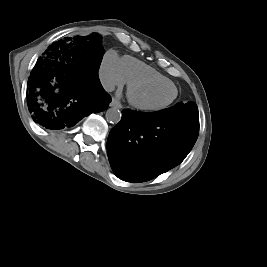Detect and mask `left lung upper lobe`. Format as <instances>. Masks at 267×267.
Listing matches in <instances>:
<instances>
[{"instance_id":"1","label":"left lung upper lobe","mask_w":267,"mask_h":267,"mask_svg":"<svg viewBox=\"0 0 267 267\" xmlns=\"http://www.w3.org/2000/svg\"><path fill=\"white\" fill-rule=\"evenodd\" d=\"M175 107H188V108H191V109H194V110H198V107L195 103L193 102H190V103H187V104H183V103H178L175 105Z\"/></svg>"}]
</instances>
